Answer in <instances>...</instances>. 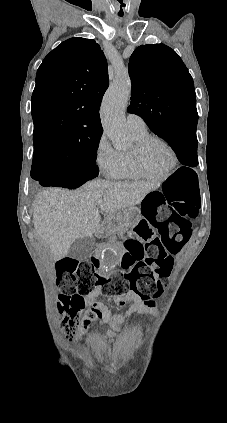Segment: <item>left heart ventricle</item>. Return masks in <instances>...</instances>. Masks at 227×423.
I'll list each match as a JSON object with an SVG mask.
<instances>
[{"instance_id":"left-heart-ventricle-1","label":"left heart ventricle","mask_w":227,"mask_h":423,"mask_svg":"<svg viewBox=\"0 0 227 423\" xmlns=\"http://www.w3.org/2000/svg\"><path fill=\"white\" fill-rule=\"evenodd\" d=\"M144 165L153 174L164 173L171 162V155L167 148L159 142L150 144L143 155Z\"/></svg>"}]
</instances>
